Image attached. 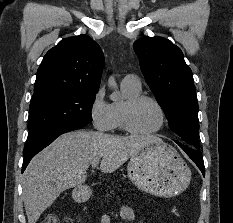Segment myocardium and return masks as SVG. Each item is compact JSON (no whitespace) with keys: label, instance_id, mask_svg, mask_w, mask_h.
<instances>
[{"label":"myocardium","instance_id":"f54148a6","mask_svg":"<svg viewBox=\"0 0 233 223\" xmlns=\"http://www.w3.org/2000/svg\"><path fill=\"white\" fill-rule=\"evenodd\" d=\"M145 101L153 102L158 107L161 113V116H162V123L160 127L156 129L155 131L148 132V133L138 131L134 127V124H133V116H134V112L136 108ZM123 122H124L125 130L131 135H134L137 137H152V136L160 134L166 128V125L168 122V116H167V112L164 106L159 100L149 95H139L137 97L129 99L125 103L123 107Z\"/></svg>","mask_w":233,"mask_h":223}]
</instances>
